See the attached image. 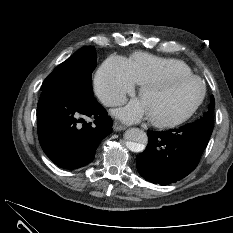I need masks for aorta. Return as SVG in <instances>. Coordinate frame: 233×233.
<instances>
[{"mask_svg":"<svg viewBox=\"0 0 233 233\" xmlns=\"http://www.w3.org/2000/svg\"><path fill=\"white\" fill-rule=\"evenodd\" d=\"M126 147L132 152H142L148 142L147 134L139 128H130L125 134Z\"/></svg>","mask_w":233,"mask_h":233,"instance_id":"1","label":"aorta"}]
</instances>
